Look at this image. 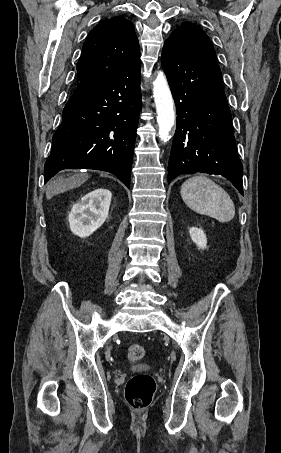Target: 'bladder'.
<instances>
[{
    "label": "bladder",
    "mask_w": 281,
    "mask_h": 453,
    "mask_svg": "<svg viewBox=\"0 0 281 453\" xmlns=\"http://www.w3.org/2000/svg\"><path fill=\"white\" fill-rule=\"evenodd\" d=\"M136 369H138V370H146V366H138Z\"/></svg>",
    "instance_id": "1"
}]
</instances>
